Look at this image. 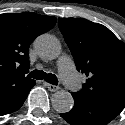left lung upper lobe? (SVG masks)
I'll return each mask as SVG.
<instances>
[{
  "label": "left lung upper lobe",
  "mask_w": 125,
  "mask_h": 125,
  "mask_svg": "<svg viewBox=\"0 0 125 125\" xmlns=\"http://www.w3.org/2000/svg\"><path fill=\"white\" fill-rule=\"evenodd\" d=\"M58 26L78 71L88 80L77 94L85 100L125 103V44L105 26L81 18H59Z\"/></svg>",
  "instance_id": "left-lung-upper-lobe-1"
}]
</instances>
